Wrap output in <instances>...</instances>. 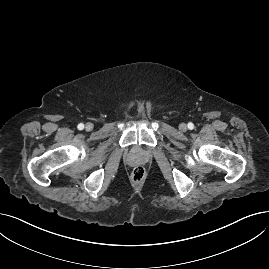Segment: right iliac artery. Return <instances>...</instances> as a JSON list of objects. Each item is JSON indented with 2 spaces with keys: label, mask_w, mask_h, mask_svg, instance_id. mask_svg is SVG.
<instances>
[{
  "label": "right iliac artery",
  "mask_w": 269,
  "mask_h": 269,
  "mask_svg": "<svg viewBox=\"0 0 269 269\" xmlns=\"http://www.w3.org/2000/svg\"><path fill=\"white\" fill-rule=\"evenodd\" d=\"M77 128L79 130H83L84 129V124L83 123L78 124Z\"/></svg>",
  "instance_id": "right-iliac-artery-1"
}]
</instances>
